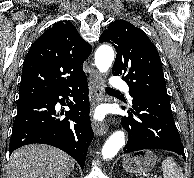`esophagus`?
<instances>
[{"instance_id": "obj_1", "label": "esophagus", "mask_w": 194, "mask_h": 178, "mask_svg": "<svg viewBox=\"0 0 194 178\" xmlns=\"http://www.w3.org/2000/svg\"><path fill=\"white\" fill-rule=\"evenodd\" d=\"M102 82V77L100 76L98 71L95 68H92L90 73V86L92 92L94 93V99L91 103L92 108H95L98 103L104 100L103 91L101 89ZM92 128L96 135H103L107 132V125L105 123L92 121Z\"/></svg>"}]
</instances>
